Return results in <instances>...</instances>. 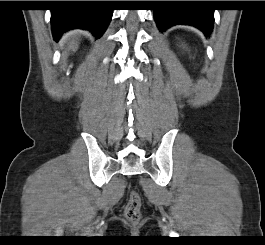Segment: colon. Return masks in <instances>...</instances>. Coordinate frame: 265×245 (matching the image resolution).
I'll list each match as a JSON object with an SVG mask.
<instances>
[{
  "instance_id": "1",
  "label": "colon",
  "mask_w": 265,
  "mask_h": 245,
  "mask_svg": "<svg viewBox=\"0 0 265 245\" xmlns=\"http://www.w3.org/2000/svg\"><path fill=\"white\" fill-rule=\"evenodd\" d=\"M124 215L131 223H136L141 217V198L137 191H132L125 206Z\"/></svg>"
}]
</instances>
